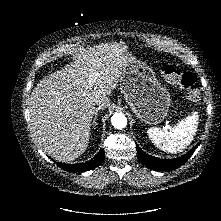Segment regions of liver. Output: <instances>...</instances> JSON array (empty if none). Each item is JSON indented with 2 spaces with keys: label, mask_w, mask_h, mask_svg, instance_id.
Wrapping results in <instances>:
<instances>
[{
  "label": "liver",
  "mask_w": 221,
  "mask_h": 221,
  "mask_svg": "<svg viewBox=\"0 0 221 221\" xmlns=\"http://www.w3.org/2000/svg\"><path fill=\"white\" fill-rule=\"evenodd\" d=\"M127 52V46L116 42L83 49L73 63L39 81L28 108L33 136L46 154L71 162L85 152L95 100L108 98L115 89Z\"/></svg>",
  "instance_id": "liver-1"
}]
</instances>
